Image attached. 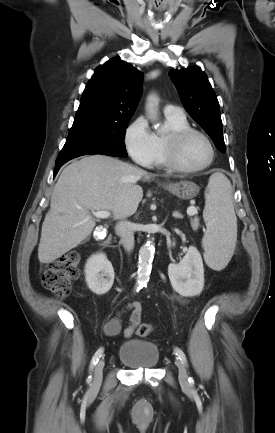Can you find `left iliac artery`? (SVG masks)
<instances>
[{
    "mask_svg": "<svg viewBox=\"0 0 275 433\" xmlns=\"http://www.w3.org/2000/svg\"><path fill=\"white\" fill-rule=\"evenodd\" d=\"M175 354L178 356V358L184 363L185 366H187V358L186 355L184 354V352L180 349V348H175L174 349ZM192 378H189V382L193 381L191 380Z\"/></svg>",
    "mask_w": 275,
    "mask_h": 433,
    "instance_id": "44dca946",
    "label": "left iliac artery"
}]
</instances>
